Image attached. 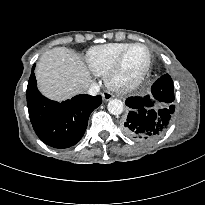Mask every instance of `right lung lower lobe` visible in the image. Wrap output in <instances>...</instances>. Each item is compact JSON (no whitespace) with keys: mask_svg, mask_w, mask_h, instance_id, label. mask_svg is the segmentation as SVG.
Listing matches in <instances>:
<instances>
[{"mask_svg":"<svg viewBox=\"0 0 205 205\" xmlns=\"http://www.w3.org/2000/svg\"><path fill=\"white\" fill-rule=\"evenodd\" d=\"M26 97L35 133L45 144L60 149L73 146L82 138L89 115L102 103L100 95H77L62 103L45 98L36 87L34 67Z\"/></svg>","mask_w":205,"mask_h":205,"instance_id":"obj_1","label":"right lung lower lobe"}]
</instances>
